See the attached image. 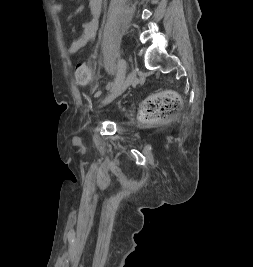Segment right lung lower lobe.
<instances>
[{
	"instance_id": "obj_1",
	"label": "right lung lower lobe",
	"mask_w": 253,
	"mask_h": 267,
	"mask_svg": "<svg viewBox=\"0 0 253 267\" xmlns=\"http://www.w3.org/2000/svg\"><path fill=\"white\" fill-rule=\"evenodd\" d=\"M145 214H146V217H152L158 214V210H148Z\"/></svg>"
}]
</instances>
